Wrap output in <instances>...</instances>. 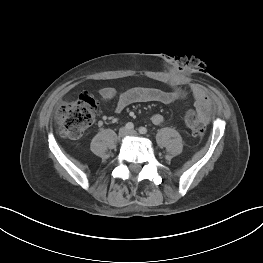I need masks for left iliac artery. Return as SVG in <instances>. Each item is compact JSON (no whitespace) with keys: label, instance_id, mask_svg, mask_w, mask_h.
Returning <instances> with one entry per match:
<instances>
[{"label":"left iliac artery","instance_id":"1","mask_svg":"<svg viewBox=\"0 0 263 263\" xmlns=\"http://www.w3.org/2000/svg\"><path fill=\"white\" fill-rule=\"evenodd\" d=\"M139 133L140 134H146L147 133V129L145 127H140L139 128Z\"/></svg>","mask_w":263,"mask_h":263}]
</instances>
